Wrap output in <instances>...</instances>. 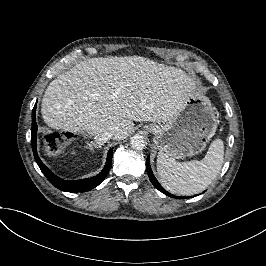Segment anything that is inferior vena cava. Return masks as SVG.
I'll use <instances>...</instances> for the list:
<instances>
[{
  "instance_id": "inferior-vena-cava-1",
  "label": "inferior vena cava",
  "mask_w": 266,
  "mask_h": 266,
  "mask_svg": "<svg viewBox=\"0 0 266 266\" xmlns=\"http://www.w3.org/2000/svg\"><path fill=\"white\" fill-rule=\"evenodd\" d=\"M93 137L98 144H103L105 141L113 137V133L106 130H100L94 132Z\"/></svg>"
}]
</instances>
